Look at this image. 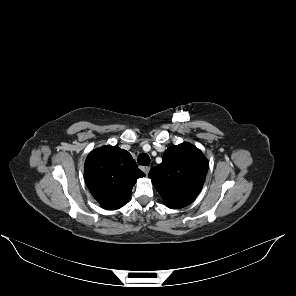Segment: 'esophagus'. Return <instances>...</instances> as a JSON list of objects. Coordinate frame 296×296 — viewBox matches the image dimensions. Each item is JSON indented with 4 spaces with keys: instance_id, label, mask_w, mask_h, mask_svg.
I'll return each mask as SVG.
<instances>
[{
    "instance_id": "34e87169",
    "label": "esophagus",
    "mask_w": 296,
    "mask_h": 296,
    "mask_svg": "<svg viewBox=\"0 0 296 296\" xmlns=\"http://www.w3.org/2000/svg\"><path fill=\"white\" fill-rule=\"evenodd\" d=\"M143 171L146 175H148L149 171H150V167L146 166L143 168Z\"/></svg>"
}]
</instances>
